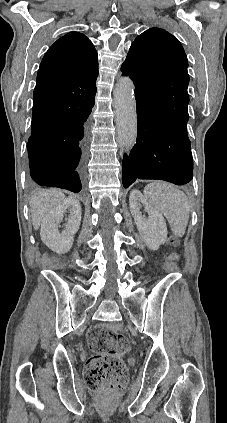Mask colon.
<instances>
[{
    "label": "colon",
    "mask_w": 227,
    "mask_h": 423,
    "mask_svg": "<svg viewBox=\"0 0 227 423\" xmlns=\"http://www.w3.org/2000/svg\"><path fill=\"white\" fill-rule=\"evenodd\" d=\"M87 342L93 352L85 366L87 386L107 396L121 392L128 379L122 360L129 349L127 337L117 327L102 324L89 332Z\"/></svg>",
    "instance_id": "1"
}]
</instances>
